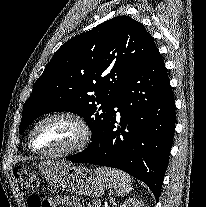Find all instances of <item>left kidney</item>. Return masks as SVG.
<instances>
[{
  "mask_svg": "<svg viewBox=\"0 0 206 207\" xmlns=\"http://www.w3.org/2000/svg\"><path fill=\"white\" fill-rule=\"evenodd\" d=\"M120 207H144V204L136 198H129Z\"/></svg>",
  "mask_w": 206,
  "mask_h": 207,
  "instance_id": "obj_1",
  "label": "left kidney"
}]
</instances>
